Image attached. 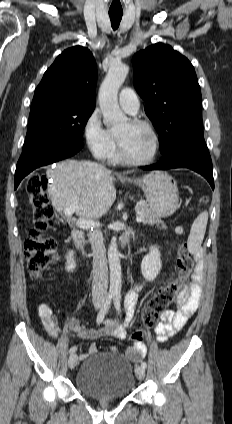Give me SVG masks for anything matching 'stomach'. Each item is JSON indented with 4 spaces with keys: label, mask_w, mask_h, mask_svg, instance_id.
I'll return each instance as SVG.
<instances>
[{
    "label": "stomach",
    "mask_w": 232,
    "mask_h": 424,
    "mask_svg": "<svg viewBox=\"0 0 232 424\" xmlns=\"http://www.w3.org/2000/svg\"><path fill=\"white\" fill-rule=\"evenodd\" d=\"M128 182L144 191L150 209L160 217H168L178 209V188L167 173L154 171L140 179H129Z\"/></svg>",
    "instance_id": "0dacf381"
}]
</instances>
